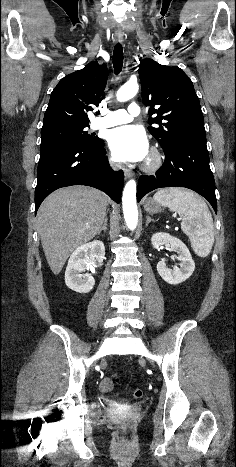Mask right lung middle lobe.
Returning <instances> with one entry per match:
<instances>
[{
	"label": "right lung middle lobe",
	"mask_w": 236,
	"mask_h": 467,
	"mask_svg": "<svg viewBox=\"0 0 236 467\" xmlns=\"http://www.w3.org/2000/svg\"><path fill=\"white\" fill-rule=\"evenodd\" d=\"M86 127L80 126H59L41 130L40 148L58 143H76L87 147H94L101 142V139L88 134Z\"/></svg>",
	"instance_id": "dd1d6c3e"
}]
</instances>
